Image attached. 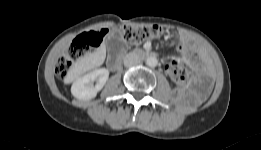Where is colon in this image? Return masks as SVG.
I'll return each mask as SVG.
<instances>
[{
    "label": "colon",
    "instance_id": "1",
    "mask_svg": "<svg viewBox=\"0 0 261 150\" xmlns=\"http://www.w3.org/2000/svg\"><path fill=\"white\" fill-rule=\"evenodd\" d=\"M119 31L124 40L131 45L139 44L147 39L158 38L165 34L164 29L155 25L141 27L124 25ZM108 32V29L102 28L78 36L57 61L55 67L56 75L62 79L66 78L78 60L102 44ZM167 71L177 85L182 86L186 83L188 78L187 71L180 63L176 61L169 62Z\"/></svg>",
    "mask_w": 261,
    "mask_h": 150
}]
</instances>
